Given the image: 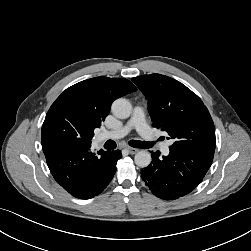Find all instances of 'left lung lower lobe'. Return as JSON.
Masks as SVG:
<instances>
[{
	"label": "left lung lower lobe",
	"instance_id": "left-lung-lower-lobe-1",
	"mask_svg": "<svg viewBox=\"0 0 251 251\" xmlns=\"http://www.w3.org/2000/svg\"><path fill=\"white\" fill-rule=\"evenodd\" d=\"M213 156L214 151L204 149H170L163 158L152 153V162L141 170V177L157 197L178 199L202 182Z\"/></svg>",
	"mask_w": 251,
	"mask_h": 251
}]
</instances>
